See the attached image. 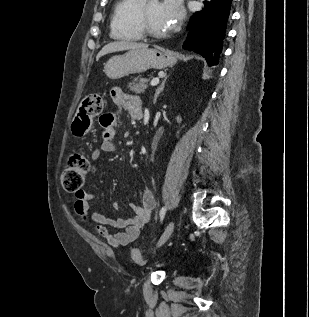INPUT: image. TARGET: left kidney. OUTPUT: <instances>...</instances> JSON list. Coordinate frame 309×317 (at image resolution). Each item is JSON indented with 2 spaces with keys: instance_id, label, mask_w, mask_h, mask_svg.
Masks as SVG:
<instances>
[{
  "instance_id": "1",
  "label": "left kidney",
  "mask_w": 309,
  "mask_h": 317,
  "mask_svg": "<svg viewBox=\"0 0 309 317\" xmlns=\"http://www.w3.org/2000/svg\"><path fill=\"white\" fill-rule=\"evenodd\" d=\"M177 122L180 123L181 122V118L178 116L177 118Z\"/></svg>"
}]
</instances>
